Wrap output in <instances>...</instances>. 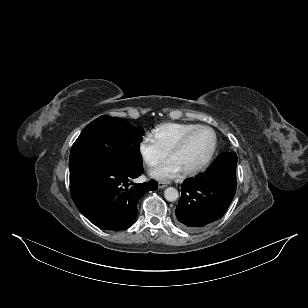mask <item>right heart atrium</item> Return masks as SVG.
<instances>
[{"label":"right heart atrium","instance_id":"right-heart-atrium-1","mask_svg":"<svg viewBox=\"0 0 308 308\" xmlns=\"http://www.w3.org/2000/svg\"><path fill=\"white\" fill-rule=\"evenodd\" d=\"M138 153L148 167L156 166L168 155V152L159 145L151 134H146L139 140Z\"/></svg>","mask_w":308,"mask_h":308}]
</instances>
